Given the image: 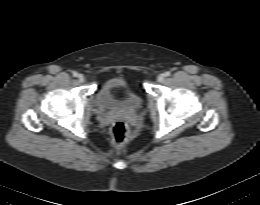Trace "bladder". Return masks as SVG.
Masks as SVG:
<instances>
[{"label":"bladder","mask_w":260,"mask_h":205,"mask_svg":"<svg viewBox=\"0 0 260 205\" xmlns=\"http://www.w3.org/2000/svg\"><path fill=\"white\" fill-rule=\"evenodd\" d=\"M95 103L97 108L104 112L118 109L137 111L142 107V98L128 85L125 79L116 77L105 81L99 87Z\"/></svg>","instance_id":"31cf9c89"}]
</instances>
